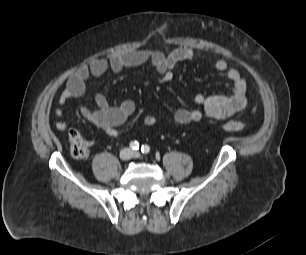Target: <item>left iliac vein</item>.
I'll return each mask as SVG.
<instances>
[{
  "mask_svg": "<svg viewBox=\"0 0 306 255\" xmlns=\"http://www.w3.org/2000/svg\"><path fill=\"white\" fill-rule=\"evenodd\" d=\"M141 155H140V153L139 152H133L132 153V157L133 158H139Z\"/></svg>",
  "mask_w": 306,
  "mask_h": 255,
  "instance_id": "left-iliac-vein-1",
  "label": "left iliac vein"
}]
</instances>
